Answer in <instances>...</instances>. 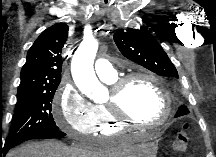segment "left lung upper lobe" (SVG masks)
Returning <instances> with one entry per match:
<instances>
[{
    "label": "left lung upper lobe",
    "mask_w": 216,
    "mask_h": 157,
    "mask_svg": "<svg viewBox=\"0 0 216 157\" xmlns=\"http://www.w3.org/2000/svg\"><path fill=\"white\" fill-rule=\"evenodd\" d=\"M114 41L129 60L165 77L178 78V73L167 54L148 29L117 31ZM181 112H188L186 107Z\"/></svg>",
    "instance_id": "1"
}]
</instances>
